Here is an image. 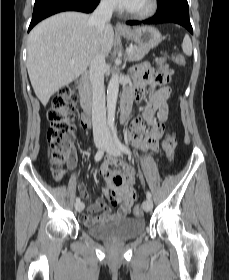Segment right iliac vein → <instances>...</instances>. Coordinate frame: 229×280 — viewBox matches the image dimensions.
Instances as JSON below:
<instances>
[{
  "instance_id": "1",
  "label": "right iliac vein",
  "mask_w": 229,
  "mask_h": 280,
  "mask_svg": "<svg viewBox=\"0 0 229 280\" xmlns=\"http://www.w3.org/2000/svg\"><path fill=\"white\" fill-rule=\"evenodd\" d=\"M105 140L103 138H99L95 141V145L97 148H100L104 145ZM75 209L77 212H81L84 209V203L83 202H79L75 204Z\"/></svg>"
}]
</instances>
